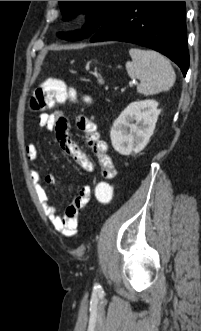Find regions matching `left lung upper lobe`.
Masks as SVG:
<instances>
[{
  "label": "left lung upper lobe",
  "instance_id": "5c2ea615",
  "mask_svg": "<svg viewBox=\"0 0 201 331\" xmlns=\"http://www.w3.org/2000/svg\"><path fill=\"white\" fill-rule=\"evenodd\" d=\"M120 1H60L64 20H70L81 10L89 11V17L82 30L59 33L66 40H82L92 36L112 14Z\"/></svg>",
  "mask_w": 201,
  "mask_h": 331
}]
</instances>
